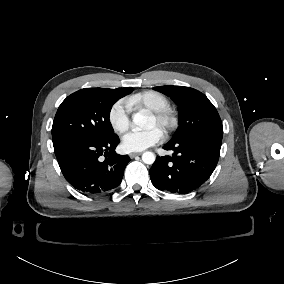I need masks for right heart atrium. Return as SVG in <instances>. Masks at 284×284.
Listing matches in <instances>:
<instances>
[{"mask_svg": "<svg viewBox=\"0 0 284 284\" xmlns=\"http://www.w3.org/2000/svg\"><path fill=\"white\" fill-rule=\"evenodd\" d=\"M132 107L130 98H120L111 106L108 113V122L115 132L124 131L129 125V114Z\"/></svg>", "mask_w": 284, "mask_h": 284, "instance_id": "right-heart-atrium-1", "label": "right heart atrium"}]
</instances>
